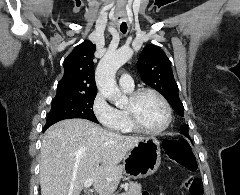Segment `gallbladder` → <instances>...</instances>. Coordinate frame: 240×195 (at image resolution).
Returning a JSON list of instances; mask_svg holds the SVG:
<instances>
[{"mask_svg": "<svg viewBox=\"0 0 240 195\" xmlns=\"http://www.w3.org/2000/svg\"><path fill=\"white\" fill-rule=\"evenodd\" d=\"M91 190H84L83 195H91Z\"/></svg>", "mask_w": 240, "mask_h": 195, "instance_id": "gallbladder-1", "label": "gallbladder"}]
</instances>
